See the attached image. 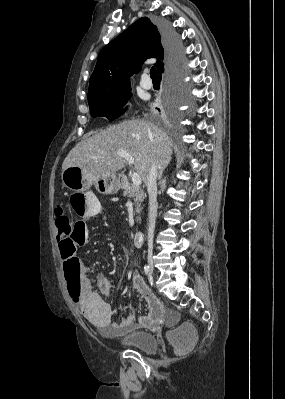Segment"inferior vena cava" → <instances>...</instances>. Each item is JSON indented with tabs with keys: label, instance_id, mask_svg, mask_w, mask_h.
<instances>
[{
	"label": "inferior vena cava",
	"instance_id": "obj_1",
	"mask_svg": "<svg viewBox=\"0 0 285 399\" xmlns=\"http://www.w3.org/2000/svg\"><path fill=\"white\" fill-rule=\"evenodd\" d=\"M157 173L158 166L155 162H152L147 179V191L149 195V212H148V250L151 252L153 250V238L154 229L157 217Z\"/></svg>",
	"mask_w": 285,
	"mask_h": 399
}]
</instances>
